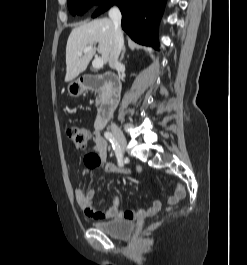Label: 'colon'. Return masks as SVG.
<instances>
[{"label":"colon","mask_w":247,"mask_h":265,"mask_svg":"<svg viewBox=\"0 0 247 265\" xmlns=\"http://www.w3.org/2000/svg\"><path fill=\"white\" fill-rule=\"evenodd\" d=\"M67 135L75 148L85 149L90 139V131L86 127L70 126L67 129Z\"/></svg>","instance_id":"obj_1"}]
</instances>
